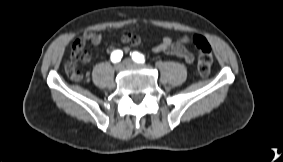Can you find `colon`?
Returning a JSON list of instances; mask_svg holds the SVG:
<instances>
[{"label":"colon","instance_id":"5ec220e1","mask_svg":"<svg viewBox=\"0 0 283 162\" xmlns=\"http://www.w3.org/2000/svg\"><path fill=\"white\" fill-rule=\"evenodd\" d=\"M189 39L198 50L197 69L199 74L208 76L213 61L210 44L201 35H192ZM70 76L77 81H86L88 79V74L79 71H70Z\"/></svg>","mask_w":283,"mask_h":162}]
</instances>
